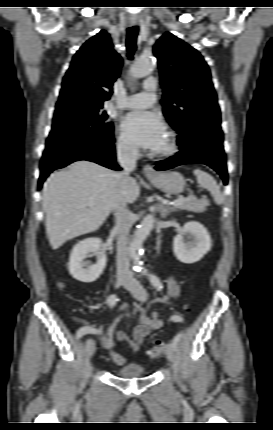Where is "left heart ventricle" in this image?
Masks as SVG:
<instances>
[{"label": "left heart ventricle", "mask_w": 273, "mask_h": 430, "mask_svg": "<svg viewBox=\"0 0 273 430\" xmlns=\"http://www.w3.org/2000/svg\"><path fill=\"white\" fill-rule=\"evenodd\" d=\"M166 145H167V136H166V138H165V141H164V143H163L162 147H161L159 150L164 149V148L166 147Z\"/></svg>", "instance_id": "left-heart-ventricle-1"}]
</instances>
